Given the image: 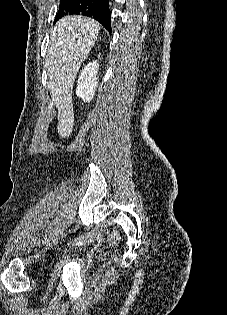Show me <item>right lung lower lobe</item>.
Returning a JSON list of instances; mask_svg holds the SVG:
<instances>
[{
	"mask_svg": "<svg viewBox=\"0 0 227 315\" xmlns=\"http://www.w3.org/2000/svg\"><path fill=\"white\" fill-rule=\"evenodd\" d=\"M109 0H60L55 22L68 15H84L94 18L111 33Z\"/></svg>",
	"mask_w": 227,
	"mask_h": 315,
	"instance_id": "1",
	"label": "right lung lower lobe"
}]
</instances>
